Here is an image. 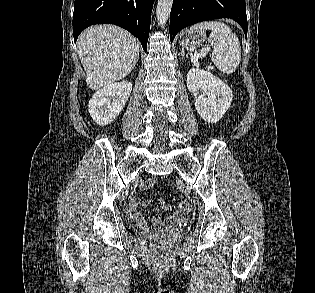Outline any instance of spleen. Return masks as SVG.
<instances>
[{"label":"spleen","instance_id":"3e777b00","mask_svg":"<svg viewBox=\"0 0 315 293\" xmlns=\"http://www.w3.org/2000/svg\"><path fill=\"white\" fill-rule=\"evenodd\" d=\"M211 30L208 42L213 47L211 55L214 65L223 73L231 74L236 71L241 61V47L238 37L231 28L220 21H204L190 27L189 32L206 34ZM202 49L200 56H205Z\"/></svg>","mask_w":315,"mask_h":293}]
</instances>
